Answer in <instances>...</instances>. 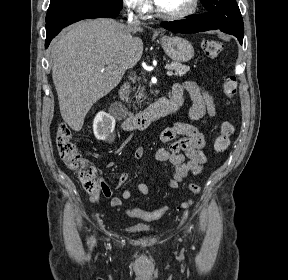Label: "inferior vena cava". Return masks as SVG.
Returning a JSON list of instances; mask_svg holds the SVG:
<instances>
[{
	"label": "inferior vena cava",
	"instance_id": "1",
	"mask_svg": "<svg viewBox=\"0 0 288 280\" xmlns=\"http://www.w3.org/2000/svg\"><path fill=\"white\" fill-rule=\"evenodd\" d=\"M141 24L140 20L132 14V12L128 13V25L137 27Z\"/></svg>",
	"mask_w": 288,
	"mask_h": 280
}]
</instances>
